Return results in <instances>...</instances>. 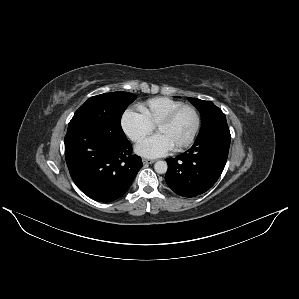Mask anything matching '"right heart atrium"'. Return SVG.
Here are the masks:
<instances>
[{"instance_id": "right-heart-atrium-1", "label": "right heart atrium", "mask_w": 299, "mask_h": 299, "mask_svg": "<svg viewBox=\"0 0 299 299\" xmlns=\"http://www.w3.org/2000/svg\"><path fill=\"white\" fill-rule=\"evenodd\" d=\"M121 126L124 133L133 142L141 141L154 130V127L135 109H128L124 112L121 118Z\"/></svg>"}]
</instances>
